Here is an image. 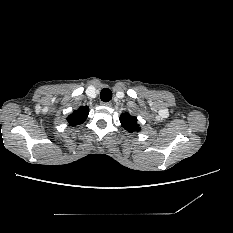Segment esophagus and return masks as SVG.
Returning <instances> with one entry per match:
<instances>
[{
    "instance_id": "1",
    "label": "esophagus",
    "mask_w": 233,
    "mask_h": 233,
    "mask_svg": "<svg viewBox=\"0 0 233 233\" xmlns=\"http://www.w3.org/2000/svg\"><path fill=\"white\" fill-rule=\"evenodd\" d=\"M101 105L110 107L112 105L111 102H101Z\"/></svg>"
}]
</instances>
